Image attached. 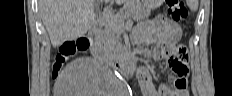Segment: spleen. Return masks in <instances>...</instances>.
Instances as JSON below:
<instances>
[{
    "label": "spleen",
    "instance_id": "obj_1",
    "mask_svg": "<svg viewBox=\"0 0 232 96\" xmlns=\"http://www.w3.org/2000/svg\"><path fill=\"white\" fill-rule=\"evenodd\" d=\"M186 2L191 11L198 10V5H199L198 0H187Z\"/></svg>",
    "mask_w": 232,
    "mask_h": 96
}]
</instances>
